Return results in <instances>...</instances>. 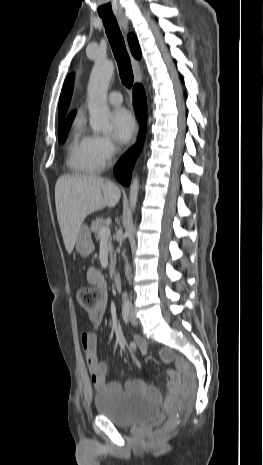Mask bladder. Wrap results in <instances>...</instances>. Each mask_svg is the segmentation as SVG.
Returning a JSON list of instances; mask_svg holds the SVG:
<instances>
[{
    "mask_svg": "<svg viewBox=\"0 0 263 465\" xmlns=\"http://www.w3.org/2000/svg\"><path fill=\"white\" fill-rule=\"evenodd\" d=\"M94 406L99 415L105 416L119 427H131L154 419L157 405L139 392L105 388L94 396Z\"/></svg>",
    "mask_w": 263,
    "mask_h": 465,
    "instance_id": "bladder-1",
    "label": "bladder"
}]
</instances>
